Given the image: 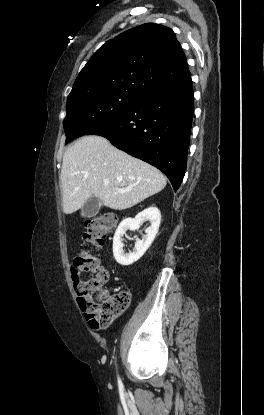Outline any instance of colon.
<instances>
[{
    "label": "colon",
    "instance_id": "colon-1",
    "mask_svg": "<svg viewBox=\"0 0 264 415\" xmlns=\"http://www.w3.org/2000/svg\"><path fill=\"white\" fill-rule=\"evenodd\" d=\"M117 223L113 215H104L85 223L83 232L84 242L92 246H100ZM87 271L93 274L80 282L78 302L81 310L95 328H106L112 324L116 317L122 314L130 304L128 291L110 293L105 283L109 272L100 268L96 256L91 250H83L71 262V272Z\"/></svg>",
    "mask_w": 264,
    "mask_h": 415
}]
</instances>
